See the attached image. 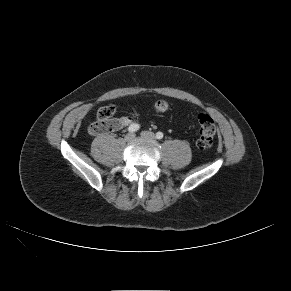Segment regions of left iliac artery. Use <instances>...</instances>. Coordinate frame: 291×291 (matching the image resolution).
Wrapping results in <instances>:
<instances>
[{
  "label": "left iliac artery",
  "instance_id": "44dca946",
  "mask_svg": "<svg viewBox=\"0 0 291 291\" xmlns=\"http://www.w3.org/2000/svg\"><path fill=\"white\" fill-rule=\"evenodd\" d=\"M156 138H157V139H162V138H163V133L160 132V131L157 132V133H156Z\"/></svg>",
  "mask_w": 291,
  "mask_h": 291
}]
</instances>
